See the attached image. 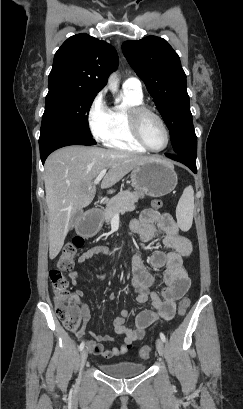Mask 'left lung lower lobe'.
Returning <instances> with one entry per match:
<instances>
[{
  "label": "left lung lower lobe",
  "instance_id": "obj_1",
  "mask_svg": "<svg viewBox=\"0 0 243 409\" xmlns=\"http://www.w3.org/2000/svg\"><path fill=\"white\" fill-rule=\"evenodd\" d=\"M194 135H195V132H194ZM195 137H196V135H195ZM197 138V137H196ZM168 158H171V159H173V160H175V161H178V162H181V163H183V164H185L186 166H188L194 173H196L197 172V169H196V160H192V159H189V158H187L186 156H184V155H182V154H179V153H177V152H174L173 154H165Z\"/></svg>",
  "mask_w": 243,
  "mask_h": 409
}]
</instances>
